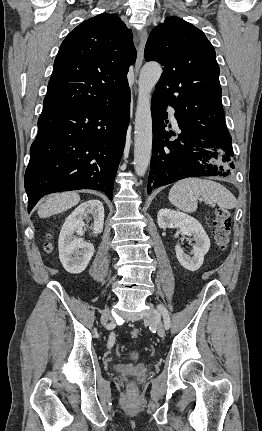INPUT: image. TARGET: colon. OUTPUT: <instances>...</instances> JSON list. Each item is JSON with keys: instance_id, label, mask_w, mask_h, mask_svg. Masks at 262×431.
Returning a JSON list of instances; mask_svg holds the SVG:
<instances>
[{"instance_id": "obj_1", "label": "colon", "mask_w": 262, "mask_h": 431, "mask_svg": "<svg viewBox=\"0 0 262 431\" xmlns=\"http://www.w3.org/2000/svg\"><path fill=\"white\" fill-rule=\"evenodd\" d=\"M230 225L231 216L230 212L224 208H217L215 211V219L213 222V238L216 246L220 250H225L228 246L230 239ZM45 247L48 251L51 250V244L46 243ZM140 334L138 328L131 331V336L137 338Z\"/></svg>"}]
</instances>
